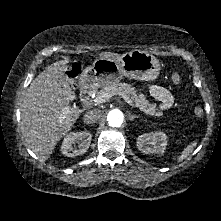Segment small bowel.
Segmentation results:
<instances>
[{"label":"small bowel","instance_id":"obj_1","mask_svg":"<svg viewBox=\"0 0 221 221\" xmlns=\"http://www.w3.org/2000/svg\"><path fill=\"white\" fill-rule=\"evenodd\" d=\"M149 90L152 96L158 101L160 110L169 109L173 105L174 97L165 87L150 85Z\"/></svg>","mask_w":221,"mask_h":221}]
</instances>
